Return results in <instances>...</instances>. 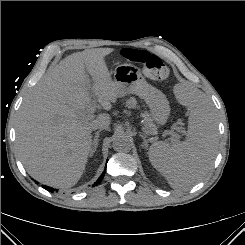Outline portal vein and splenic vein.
<instances>
[{"mask_svg": "<svg viewBox=\"0 0 245 245\" xmlns=\"http://www.w3.org/2000/svg\"><path fill=\"white\" fill-rule=\"evenodd\" d=\"M96 107H97V102L94 99L92 101V103L90 104L89 109H88V111L90 112V114H92L96 110ZM171 135L173 136V138L171 139V142L177 141V137H178L177 133L172 132Z\"/></svg>", "mask_w": 245, "mask_h": 245, "instance_id": "portal-vein-and-splenic-vein-1", "label": "portal vein and splenic vein"}]
</instances>
